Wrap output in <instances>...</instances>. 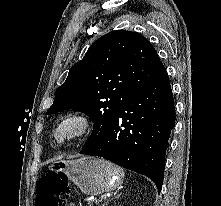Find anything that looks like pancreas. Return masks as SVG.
<instances>
[{"label":"pancreas","mask_w":221,"mask_h":206,"mask_svg":"<svg viewBox=\"0 0 221 206\" xmlns=\"http://www.w3.org/2000/svg\"><path fill=\"white\" fill-rule=\"evenodd\" d=\"M100 201L98 200H92L91 202H88V206H94V204H99Z\"/></svg>","instance_id":"obj_1"}]
</instances>
